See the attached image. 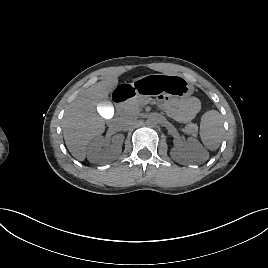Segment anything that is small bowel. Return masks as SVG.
I'll use <instances>...</instances> for the list:
<instances>
[{
    "mask_svg": "<svg viewBox=\"0 0 268 268\" xmlns=\"http://www.w3.org/2000/svg\"><path fill=\"white\" fill-rule=\"evenodd\" d=\"M162 105L167 113L180 123L190 122L200 109L199 100L194 97L183 100L162 97Z\"/></svg>",
    "mask_w": 268,
    "mask_h": 268,
    "instance_id": "obj_1",
    "label": "small bowel"
}]
</instances>
